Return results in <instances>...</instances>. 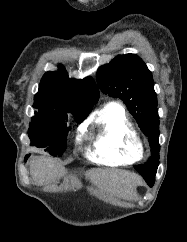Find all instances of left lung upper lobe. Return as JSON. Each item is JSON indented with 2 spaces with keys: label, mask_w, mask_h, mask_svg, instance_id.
I'll return each instance as SVG.
<instances>
[{
  "label": "left lung upper lobe",
  "mask_w": 187,
  "mask_h": 242,
  "mask_svg": "<svg viewBox=\"0 0 187 242\" xmlns=\"http://www.w3.org/2000/svg\"><path fill=\"white\" fill-rule=\"evenodd\" d=\"M103 93L120 98L149 137L152 155L135 169L143 176H155L159 165V116L151 71L136 54L119 55L97 71Z\"/></svg>",
  "instance_id": "5c2ea615"
}]
</instances>
